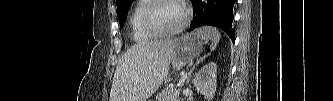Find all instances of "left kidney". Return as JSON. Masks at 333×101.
<instances>
[{
  "label": "left kidney",
  "mask_w": 333,
  "mask_h": 101,
  "mask_svg": "<svg viewBox=\"0 0 333 101\" xmlns=\"http://www.w3.org/2000/svg\"><path fill=\"white\" fill-rule=\"evenodd\" d=\"M217 64L208 63L195 75L194 87L207 101L213 99L217 88Z\"/></svg>",
  "instance_id": "left-kidney-1"
}]
</instances>
